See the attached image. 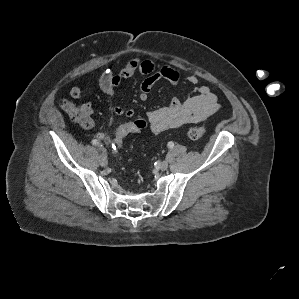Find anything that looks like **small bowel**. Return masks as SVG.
I'll return each mask as SVG.
<instances>
[{"mask_svg":"<svg viewBox=\"0 0 299 299\" xmlns=\"http://www.w3.org/2000/svg\"><path fill=\"white\" fill-rule=\"evenodd\" d=\"M135 74L145 76L140 86L139 97L141 101L147 100L149 93L157 82L166 80L175 85L180 79L179 73L170 66L164 65L157 69L150 60L132 58L116 73L109 72L103 74L99 80L100 90L105 96L111 98L114 95V88ZM186 83L192 86L197 85V76L190 75L186 79ZM70 96L73 99H79L81 97L80 88L73 87L70 90ZM83 107L89 115L93 113V107L90 103L83 104ZM219 108L217 96L208 86L203 85L196 87L193 95L186 97L174 96L169 105L150 110L145 117L138 115L132 109L115 106L109 114L108 124L112 125L116 116H126L129 119L140 122L144 128L149 126L153 133L159 134L183 125L199 123L215 114ZM93 126L94 122L87 128ZM97 137L107 144L111 143V138L104 132H98Z\"/></svg>","mask_w":299,"mask_h":299,"instance_id":"c3829d8e","label":"small bowel"}]
</instances>
